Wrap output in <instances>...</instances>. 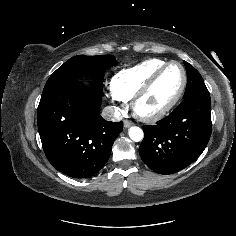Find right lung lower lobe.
<instances>
[{
  "mask_svg": "<svg viewBox=\"0 0 236 236\" xmlns=\"http://www.w3.org/2000/svg\"><path fill=\"white\" fill-rule=\"evenodd\" d=\"M101 97L79 80L43 91L37 110L43 150L58 171L88 178L109 159L123 122L99 115Z\"/></svg>",
  "mask_w": 236,
  "mask_h": 236,
  "instance_id": "obj_1",
  "label": "right lung lower lobe"
}]
</instances>
